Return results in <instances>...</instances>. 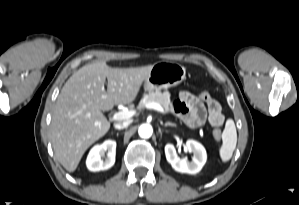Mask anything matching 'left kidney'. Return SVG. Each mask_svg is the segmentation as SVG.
<instances>
[{
    "label": "left kidney",
    "instance_id": "obj_1",
    "mask_svg": "<svg viewBox=\"0 0 299 205\" xmlns=\"http://www.w3.org/2000/svg\"><path fill=\"white\" fill-rule=\"evenodd\" d=\"M186 148L189 152H193L194 154L191 162L187 161L186 158L180 159L177 156L174 145L172 144H167L165 146L166 159L175 171L180 173L196 174L206 163V150L202 144L192 139L186 141Z\"/></svg>",
    "mask_w": 299,
    "mask_h": 205
}]
</instances>
